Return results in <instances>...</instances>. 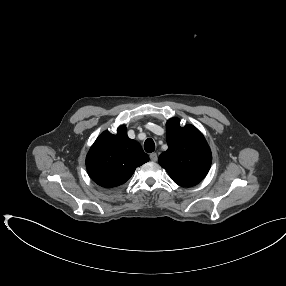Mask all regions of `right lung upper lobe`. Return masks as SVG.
Wrapping results in <instances>:
<instances>
[{"instance_id": "cb5924a9", "label": "right lung upper lobe", "mask_w": 286, "mask_h": 286, "mask_svg": "<svg viewBox=\"0 0 286 286\" xmlns=\"http://www.w3.org/2000/svg\"><path fill=\"white\" fill-rule=\"evenodd\" d=\"M148 160L149 156L127 136L126 126L122 125L116 135L108 131L99 135L86 156V167L96 184L114 188L129 180L135 169Z\"/></svg>"}]
</instances>
